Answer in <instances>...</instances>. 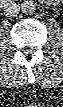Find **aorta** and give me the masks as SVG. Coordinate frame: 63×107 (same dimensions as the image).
I'll use <instances>...</instances> for the list:
<instances>
[{
    "label": "aorta",
    "mask_w": 63,
    "mask_h": 107,
    "mask_svg": "<svg viewBox=\"0 0 63 107\" xmlns=\"http://www.w3.org/2000/svg\"><path fill=\"white\" fill-rule=\"evenodd\" d=\"M21 10L26 15H31L36 10V4L31 0H26L21 4Z\"/></svg>",
    "instance_id": "762f6f07"
}]
</instances>
